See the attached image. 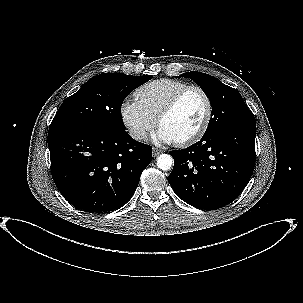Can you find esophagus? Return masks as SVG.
Here are the masks:
<instances>
[{"label": "esophagus", "instance_id": "1", "mask_svg": "<svg viewBox=\"0 0 303 303\" xmlns=\"http://www.w3.org/2000/svg\"><path fill=\"white\" fill-rule=\"evenodd\" d=\"M161 152H162L161 150H159V149H157V148H153V150H152V155H153V157H156V156H158Z\"/></svg>", "mask_w": 303, "mask_h": 303}]
</instances>
